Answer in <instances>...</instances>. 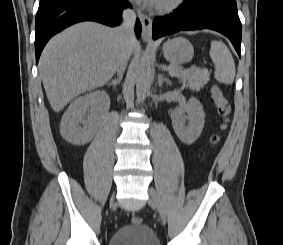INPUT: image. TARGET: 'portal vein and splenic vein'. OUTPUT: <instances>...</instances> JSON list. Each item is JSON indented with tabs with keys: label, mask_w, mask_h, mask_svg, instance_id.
<instances>
[{
	"label": "portal vein and splenic vein",
	"mask_w": 283,
	"mask_h": 245,
	"mask_svg": "<svg viewBox=\"0 0 283 245\" xmlns=\"http://www.w3.org/2000/svg\"><path fill=\"white\" fill-rule=\"evenodd\" d=\"M167 69L170 71L171 74H176V75H183V74H186V73H188L192 70V68H188V69H181V70H178L176 72H172L169 67Z\"/></svg>",
	"instance_id": "portal-vein-and-splenic-vein-1"
}]
</instances>
